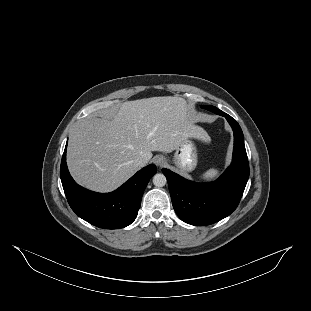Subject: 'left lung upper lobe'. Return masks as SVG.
Here are the masks:
<instances>
[{
    "label": "left lung upper lobe",
    "instance_id": "1",
    "mask_svg": "<svg viewBox=\"0 0 311 311\" xmlns=\"http://www.w3.org/2000/svg\"><path fill=\"white\" fill-rule=\"evenodd\" d=\"M202 108L206 109V110H209L213 113H216V114H220L222 111L219 110L218 108L214 107V106H210V105H204L202 106Z\"/></svg>",
    "mask_w": 311,
    "mask_h": 311
}]
</instances>
